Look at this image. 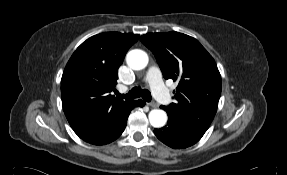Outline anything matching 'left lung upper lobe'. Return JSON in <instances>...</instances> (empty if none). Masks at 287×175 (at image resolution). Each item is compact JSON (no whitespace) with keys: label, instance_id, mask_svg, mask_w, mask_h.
<instances>
[{"label":"left lung upper lobe","instance_id":"5c2ea615","mask_svg":"<svg viewBox=\"0 0 287 175\" xmlns=\"http://www.w3.org/2000/svg\"><path fill=\"white\" fill-rule=\"evenodd\" d=\"M140 40L155 55L164 78L179 81L175 102L161 108L203 136L221 95V76L214 59L195 38L182 33H148Z\"/></svg>","mask_w":287,"mask_h":175}]
</instances>
